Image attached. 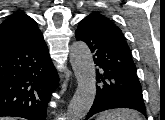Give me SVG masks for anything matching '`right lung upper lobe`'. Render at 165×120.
Instances as JSON below:
<instances>
[{
	"instance_id": "1",
	"label": "right lung upper lobe",
	"mask_w": 165,
	"mask_h": 120,
	"mask_svg": "<svg viewBox=\"0 0 165 120\" xmlns=\"http://www.w3.org/2000/svg\"><path fill=\"white\" fill-rule=\"evenodd\" d=\"M41 34L32 18L24 13L16 12L0 26V50Z\"/></svg>"
}]
</instances>
